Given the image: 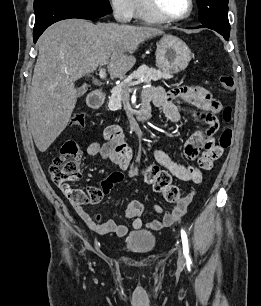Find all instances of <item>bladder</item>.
Masks as SVG:
<instances>
[{
	"label": "bladder",
	"instance_id": "1",
	"mask_svg": "<svg viewBox=\"0 0 261 306\" xmlns=\"http://www.w3.org/2000/svg\"><path fill=\"white\" fill-rule=\"evenodd\" d=\"M156 245L154 234L147 230H138L129 233L124 239L125 248L136 254L150 253Z\"/></svg>",
	"mask_w": 261,
	"mask_h": 306
}]
</instances>
